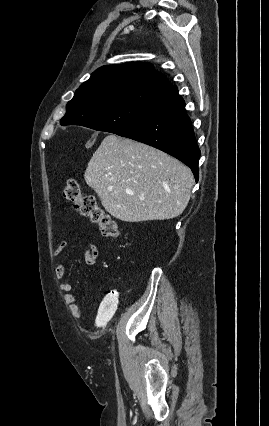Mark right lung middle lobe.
<instances>
[{"label":"right lung middle lobe","mask_w":269,"mask_h":426,"mask_svg":"<svg viewBox=\"0 0 269 426\" xmlns=\"http://www.w3.org/2000/svg\"><path fill=\"white\" fill-rule=\"evenodd\" d=\"M161 94L143 90L105 91L89 95L75 93L60 123L116 133L143 118Z\"/></svg>","instance_id":"dd1d6c3e"}]
</instances>
